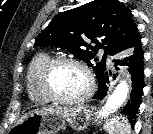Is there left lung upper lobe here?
Listing matches in <instances>:
<instances>
[{
  "label": "left lung upper lobe",
  "mask_w": 153,
  "mask_h": 134,
  "mask_svg": "<svg viewBox=\"0 0 153 134\" xmlns=\"http://www.w3.org/2000/svg\"><path fill=\"white\" fill-rule=\"evenodd\" d=\"M132 17L130 10L118 0H94L57 14L38 35L34 47L51 45L69 50L86 61L99 80L106 70L107 53L116 55L140 44ZM88 40L94 42L95 46L92 47ZM100 48L107 53L94 66L90 60H96L94 54Z\"/></svg>",
  "instance_id": "1"
}]
</instances>
